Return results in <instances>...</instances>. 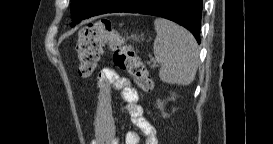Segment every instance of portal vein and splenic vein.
<instances>
[{
	"mask_svg": "<svg viewBox=\"0 0 273 144\" xmlns=\"http://www.w3.org/2000/svg\"><path fill=\"white\" fill-rule=\"evenodd\" d=\"M154 66H156V62H154V63L152 64V67H154Z\"/></svg>",
	"mask_w": 273,
	"mask_h": 144,
	"instance_id": "18ae733b",
	"label": "portal vein and splenic vein"
}]
</instances>
